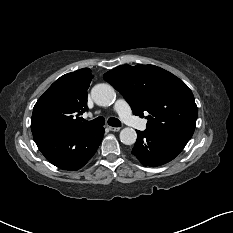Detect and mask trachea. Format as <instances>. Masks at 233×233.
Listing matches in <instances>:
<instances>
[{"label":"trachea","mask_w":233,"mask_h":233,"mask_svg":"<svg viewBox=\"0 0 233 233\" xmlns=\"http://www.w3.org/2000/svg\"><path fill=\"white\" fill-rule=\"evenodd\" d=\"M85 121V120H84ZM89 126L98 127L105 124V119L103 117H97L92 121H85ZM108 124L113 127H120L121 122L116 118H109Z\"/></svg>","instance_id":"3493384b"}]
</instances>
